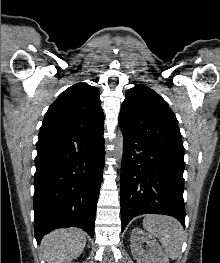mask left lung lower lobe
<instances>
[{"label": "left lung lower lobe", "instance_id": "obj_1", "mask_svg": "<svg viewBox=\"0 0 220 263\" xmlns=\"http://www.w3.org/2000/svg\"><path fill=\"white\" fill-rule=\"evenodd\" d=\"M122 130L121 222L141 214H165L185 227L183 156Z\"/></svg>", "mask_w": 220, "mask_h": 263}]
</instances>
